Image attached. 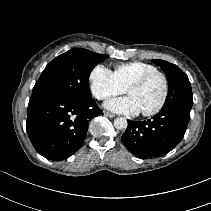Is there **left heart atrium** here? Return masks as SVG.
<instances>
[{"label": "left heart atrium", "instance_id": "1", "mask_svg": "<svg viewBox=\"0 0 211 211\" xmlns=\"http://www.w3.org/2000/svg\"><path fill=\"white\" fill-rule=\"evenodd\" d=\"M105 107L113 112L126 115H136L141 112L132 96L111 99L105 103Z\"/></svg>", "mask_w": 211, "mask_h": 211}]
</instances>
